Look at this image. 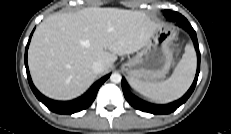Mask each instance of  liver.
I'll return each mask as SVG.
<instances>
[{"label":"liver","instance_id":"6515ba94","mask_svg":"<svg viewBox=\"0 0 231 134\" xmlns=\"http://www.w3.org/2000/svg\"><path fill=\"white\" fill-rule=\"evenodd\" d=\"M158 27L144 12L118 8L53 14L37 27L29 47L33 82L49 98H76L96 79L94 62L108 71L117 55L140 50Z\"/></svg>","mask_w":231,"mask_h":134}]
</instances>
